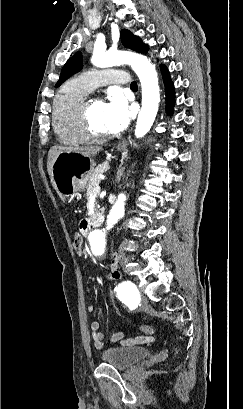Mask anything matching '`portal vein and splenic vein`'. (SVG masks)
Returning <instances> with one entry per match:
<instances>
[{
	"instance_id": "portal-vein-and-splenic-vein-1",
	"label": "portal vein and splenic vein",
	"mask_w": 243,
	"mask_h": 409,
	"mask_svg": "<svg viewBox=\"0 0 243 409\" xmlns=\"http://www.w3.org/2000/svg\"><path fill=\"white\" fill-rule=\"evenodd\" d=\"M100 193V186H97V187H95L94 188V190H93V195H97V194H99Z\"/></svg>"
}]
</instances>
